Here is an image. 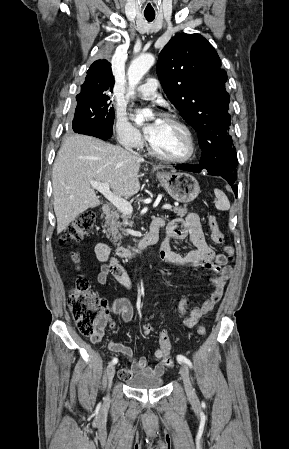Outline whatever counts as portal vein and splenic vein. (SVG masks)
<instances>
[{"mask_svg": "<svg viewBox=\"0 0 289 449\" xmlns=\"http://www.w3.org/2000/svg\"><path fill=\"white\" fill-rule=\"evenodd\" d=\"M91 187L102 193L107 200H109L119 211L126 215H131L133 208L131 204L125 199L112 193L110 190V185L108 183L92 182ZM163 209H171L170 204H164Z\"/></svg>", "mask_w": 289, "mask_h": 449, "instance_id": "1", "label": "portal vein and splenic vein"}]
</instances>
